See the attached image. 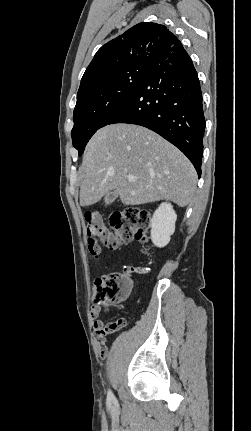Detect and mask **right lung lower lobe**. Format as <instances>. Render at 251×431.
<instances>
[{
  "mask_svg": "<svg viewBox=\"0 0 251 431\" xmlns=\"http://www.w3.org/2000/svg\"><path fill=\"white\" fill-rule=\"evenodd\" d=\"M114 123L141 125L158 133L180 149L201 176L205 131L202 92L184 48L150 59L139 87L104 126Z\"/></svg>",
  "mask_w": 251,
  "mask_h": 431,
  "instance_id": "98d812e1",
  "label": "right lung lower lobe"
}]
</instances>
